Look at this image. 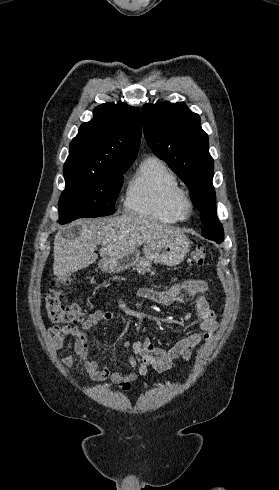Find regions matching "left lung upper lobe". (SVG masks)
Segmentation results:
<instances>
[{
    "mask_svg": "<svg viewBox=\"0 0 279 490\" xmlns=\"http://www.w3.org/2000/svg\"><path fill=\"white\" fill-rule=\"evenodd\" d=\"M142 118L148 146L188 186L192 202L201 212V235L223 242L224 230L216 215L212 185L214 160L199 115L183 102H158L145 104Z\"/></svg>",
    "mask_w": 279,
    "mask_h": 490,
    "instance_id": "5c2ea615",
    "label": "left lung upper lobe"
}]
</instances>
